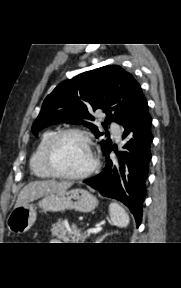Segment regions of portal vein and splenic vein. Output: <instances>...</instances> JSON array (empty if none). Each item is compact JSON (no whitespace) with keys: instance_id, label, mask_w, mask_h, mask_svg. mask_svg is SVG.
Here are the masks:
<instances>
[{"instance_id":"1","label":"portal vein and splenic vein","mask_w":181,"mask_h":288,"mask_svg":"<svg viewBox=\"0 0 181 288\" xmlns=\"http://www.w3.org/2000/svg\"><path fill=\"white\" fill-rule=\"evenodd\" d=\"M102 230V228L101 227H97V228H91V229H88L87 230V233L88 234H95V233H98V232H100Z\"/></svg>"}]
</instances>
